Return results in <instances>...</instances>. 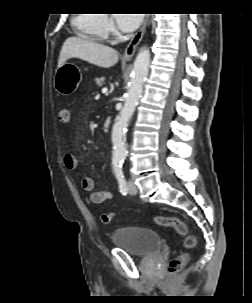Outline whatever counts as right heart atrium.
<instances>
[{
  "label": "right heart atrium",
  "mask_w": 252,
  "mask_h": 303,
  "mask_svg": "<svg viewBox=\"0 0 252 303\" xmlns=\"http://www.w3.org/2000/svg\"><path fill=\"white\" fill-rule=\"evenodd\" d=\"M102 28L107 34L112 33L114 31L112 20L109 17L104 16V19L102 21Z\"/></svg>",
  "instance_id": "obj_1"
}]
</instances>
